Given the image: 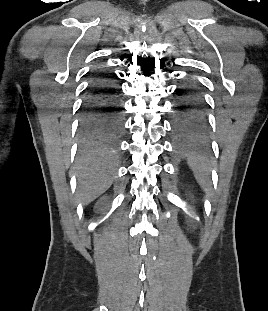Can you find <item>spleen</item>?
Instances as JSON below:
<instances>
[{"mask_svg": "<svg viewBox=\"0 0 268 311\" xmlns=\"http://www.w3.org/2000/svg\"><path fill=\"white\" fill-rule=\"evenodd\" d=\"M188 164L190 168L193 170L195 178L199 185L207 190L210 186V166L207 160L200 156H191L188 159Z\"/></svg>", "mask_w": 268, "mask_h": 311, "instance_id": "spleen-1", "label": "spleen"}]
</instances>
